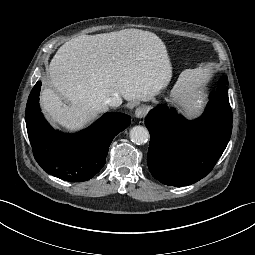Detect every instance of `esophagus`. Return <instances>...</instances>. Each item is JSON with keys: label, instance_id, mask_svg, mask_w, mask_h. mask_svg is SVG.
I'll return each instance as SVG.
<instances>
[{"label": "esophagus", "instance_id": "1", "mask_svg": "<svg viewBox=\"0 0 255 255\" xmlns=\"http://www.w3.org/2000/svg\"><path fill=\"white\" fill-rule=\"evenodd\" d=\"M147 113V107L140 106L135 110V117L138 119L144 118Z\"/></svg>", "mask_w": 255, "mask_h": 255}]
</instances>
